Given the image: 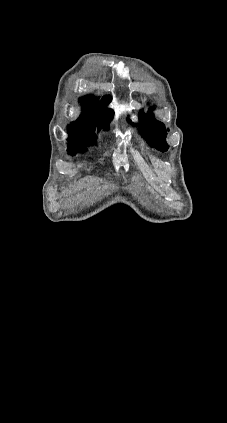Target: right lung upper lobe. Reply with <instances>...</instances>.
Masks as SVG:
<instances>
[{
  "mask_svg": "<svg viewBox=\"0 0 227 423\" xmlns=\"http://www.w3.org/2000/svg\"><path fill=\"white\" fill-rule=\"evenodd\" d=\"M112 100L111 96H105L101 99L102 107L98 106V100L93 96H87L81 99L83 113L70 126L68 131L70 134L69 142L87 143L95 142L94 138L95 128L98 125V130H109V121L114 116L112 109H107Z\"/></svg>",
  "mask_w": 227,
  "mask_h": 423,
  "instance_id": "right-lung-upper-lobe-1",
  "label": "right lung upper lobe"
}]
</instances>
